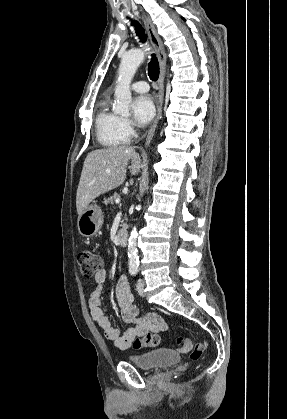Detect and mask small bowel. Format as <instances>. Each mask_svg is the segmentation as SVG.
I'll return each mask as SVG.
<instances>
[{
  "label": "small bowel",
  "mask_w": 287,
  "mask_h": 419,
  "mask_svg": "<svg viewBox=\"0 0 287 419\" xmlns=\"http://www.w3.org/2000/svg\"><path fill=\"white\" fill-rule=\"evenodd\" d=\"M107 277L105 269L95 274L96 287L90 294L88 305L93 320L103 330L107 339L122 350L132 346L135 339L145 336L148 333H158L166 330V323L163 317L157 313H147L144 316L139 314L133 304V295L130 291L126 277L121 276L116 284V306L122 320L129 326L121 333L111 325L109 318L104 314L101 306L102 286Z\"/></svg>",
  "instance_id": "c3829d8e"
}]
</instances>
